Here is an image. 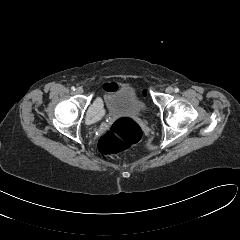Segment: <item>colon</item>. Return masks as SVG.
<instances>
[{
  "mask_svg": "<svg viewBox=\"0 0 240 240\" xmlns=\"http://www.w3.org/2000/svg\"><path fill=\"white\" fill-rule=\"evenodd\" d=\"M141 137L142 130L134 120L120 118L98 139L97 148L102 154L112 155L131 148Z\"/></svg>",
  "mask_w": 240,
  "mask_h": 240,
  "instance_id": "1",
  "label": "colon"
}]
</instances>
